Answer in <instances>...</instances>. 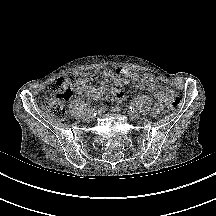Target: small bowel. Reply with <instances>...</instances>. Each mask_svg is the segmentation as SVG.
<instances>
[{"instance_id": "c3829d8e", "label": "small bowel", "mask_w": 216, "mask_h": 216, "mask_svg": "<svg viewBox=\"0 0 216 216\" xmlns=\"http://www.w3.org/2000/svg\"><path fill=\"white\" fill-rule=\"evenodd\" d=\"M106 83H112L118 87L124 84H134L139 89L151 91L155 94L156 103L153 107V114L158 115L164 108V103L167 100L168 89L157 85L156 79L151 74L138 75L129 70L119 69L112 71L106 69L102 74V82L97 85H89L86 82L77 85L76 91L80 95L99 99L106 92L110 91L116 101L122 102L125 99L124 93L116 88L109 89Z\"/></svg>"}]
</instances>
